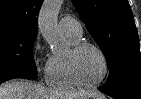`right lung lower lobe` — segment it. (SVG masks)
Returning a JSON list of instances; mask_svg holds the SVG:
<instances>
[{
    "label": "right lung lower lobe",
    "instance_id": "98d812e1",
    "mask_svg": "<svg viewBox=\"0 0 141 99\" xmlns=\"http://www.w3.org/2000/svg\"><path fill=\"white\" fill-rule=\"evenodd\" d=\"M35 76L34 74L30 73H23V72H16V73H10L0 76V84L14 78H26V77H32Z\"/></svg>",
    "mask_w": 141,
    "mask_h": 99
}]
</instances>
